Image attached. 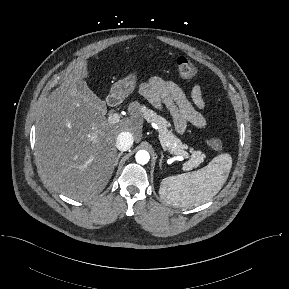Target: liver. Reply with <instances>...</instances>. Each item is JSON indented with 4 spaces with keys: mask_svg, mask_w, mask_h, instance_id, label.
<instances>
[{
    "mask_svg": "<svg viewBox=\"0 0 289 289\" xmlns=\"http://www.w3.org/2000/svg\"><path fill=\"white\" fill-rule=\"evenodd\" d=\"M87 77V62L82 60L49 95L36 124L41 177L75 200H88L104 190L116 166L118 135L128 131L139 142L143 127L136 103L129 105V117L109 123L89 94L77 88L76 83Z\"/></svg>",
    "mask_w": 289,
    "mask_h": 289,
    "instance_id": "liver-1",
    "label": "liver"
}]
</instances>
